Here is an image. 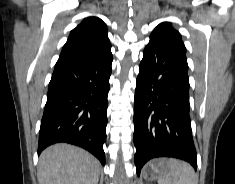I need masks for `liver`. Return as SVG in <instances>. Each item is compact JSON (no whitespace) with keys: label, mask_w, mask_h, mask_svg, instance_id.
Listing matches in <instances>:
<instances>
[{"label":"liver","mask_w":235,"mask_h":184,"mask_svg":"<svg viewBox=\"0 0 235 184\" xmlns=\"http://www.w3.org/2000/svg\"><path fill=\"white\" fill-rule=\"evenodd\" d=\"M100 162L76 146L54 144L42 152L39 184H98Z\"/></svg>","instance_id":"1"}]
</instances>
